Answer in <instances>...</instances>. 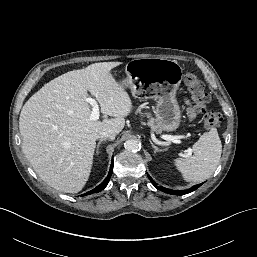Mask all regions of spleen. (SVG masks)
I'll return each instance as SVG.
<instances>
[{
    "label": "spleen",
    "instance_id": "3e777b00",
    "mask_svg": "<svg viewBox=\"0 0 257 257\" xmlns=\"http://www.w3.org/2000/svg\"><path fill=\"white\" fill-rule=\"evenodd\" d=\"M192 156L174 160L176 168L188 182H201L208 179L217 168L222 144L216 128L205 132L192 147Z\"/></svg>",
    "mask_w": 257,
    "mask_h": 257
}]
</instances>
